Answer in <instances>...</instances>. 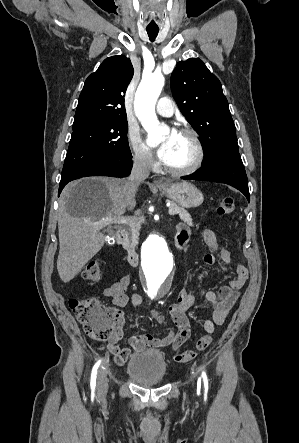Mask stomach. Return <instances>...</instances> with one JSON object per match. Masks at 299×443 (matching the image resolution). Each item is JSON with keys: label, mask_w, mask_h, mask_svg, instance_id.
Here are the masks:
<instances>
[{"label": "stomach", "mask_w": 299, "mask_h": 443, "mask_svg": "<svg viewBox=\"0 0 299 443\" xmlns=\"http://www.w3.org/2000/svg\"><path fill=\"white\" fill-rule=\"evenodd\" d=\"M158 188L162 194L184 208L198 207L204 200L202 192L188 182H168Z\"/></svg>", "instance_id": "0dacf381"}]
</instances>
